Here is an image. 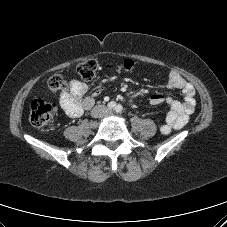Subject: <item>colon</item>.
<instances>
[{
    "mask_svg": "<svg viewBox=\"0 0 227 227\" xmlns=\"http://www.w3.org/2000/svg\"><path fill=\"white\" fill-rule=\"evenodd\" d=\"M122 68L127 73H134L138 70L133 60H125ZM98 69V64L94 60H86L76 67V74L83 80H91ZM48 87L53 93L67 90L68 83L62 75H54L49 79ZM57 114V105L54 102L36 98L30 106V122L39 128L47 127Z\"/></svg>",
    "mask_w": 227,
    "mask_h": 227,
    "instance_id": "1",
    "label": "colon"
}]
</instances>
